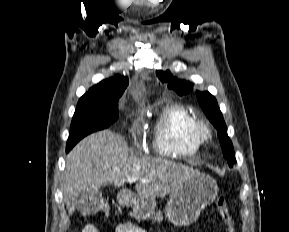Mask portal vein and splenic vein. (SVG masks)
Segmentation results:
<instances>
[{
  "instance_id": "portal-vein-and-splenic-vein-1",
  "label": "portal vein and splenic vein",
  "mask_w": 289,
  "mask_h": 232,
  "mask_svg": "<svg viewBox=\"0 0 289 232\" xmlns=\"http://www.w3.org/2000/svg\"><path fill=\"white\" fill-rule=\"evenodd\" d=\"M139 179L137 178V177H128L127 178V181L129 182V183H134V182H136V181H138ZM141 182H143V183H146V182H148V180H140Z\"/></svg>"
}]
</instances>
